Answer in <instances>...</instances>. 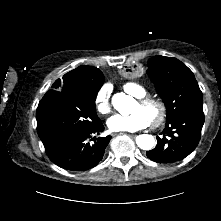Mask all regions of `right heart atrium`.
<instances>
[{"label":"right heart atrium","instance_id":"right-heart-atrium-1","mask_svg":"<svg viewBox=\"0 0 221 221\" xmlns=\"http://www.w3.org/2000/svg\"><path fill=\"white\" fill-rule=\"evenodd\" d=\"M95 106L102 115H108L111 112V88L109 85H102L95 95Z\"/></svg>","mask_w":221,"mask_h":221}]
</instances>
